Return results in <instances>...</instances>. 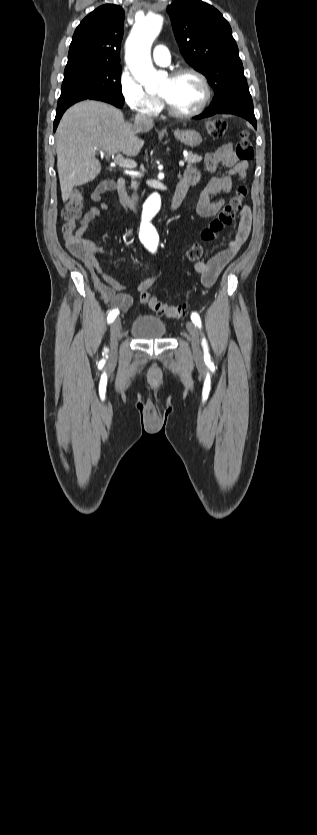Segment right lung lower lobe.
Instances as JSON below:
<instances>
[{
    "mask_svg": "<svg viewBox=\"0 0 317 835\" xmlns=\"http://www.w3.org/2000/svg\"><path fill=\"white\" fill-rule=\"evenodd\" d=\"M88 99L107 102V103L113 104L114 106L119 107V108L122 107L123 104H124L123 99H120V98H117V97H114V96H111V95H98V96H94V97H91V98H88ZM76 102H78V101H75L73 103H69V104H66V105H62V106H57L56 117H55L54 124H53L54 131L56 130V128L59 124V121H60L63 113L65 112V110Z\"/></svg>",
    "mask_w": 317,
    "mask_h": 835,
    "instance_id": "obj_1",
    "label": "right lung lower lobe"
}]
</instances>
